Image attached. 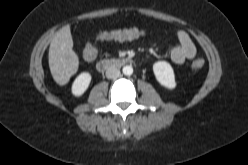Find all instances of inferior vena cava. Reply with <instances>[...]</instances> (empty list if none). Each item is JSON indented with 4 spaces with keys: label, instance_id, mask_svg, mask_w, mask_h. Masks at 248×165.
Listing matches in <instances>:
<instances>
[{
    "label": "inferior vena cava",
    "instance_id": "1",
    "mask_svg": "<svg viewBox=\"0 0 248 165\" xmlns=\"http://www.w3.org/2000/svg\"><path fill=\"white\" fill-rule=\"evenodd\" d=\"M120 76V70L116 67H110L106 70V77L108 79H115Z\"/></svg>",
    "mask_w": 248,
    "mask_h": 165
}]
</instances>
